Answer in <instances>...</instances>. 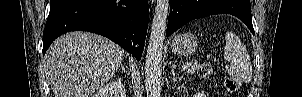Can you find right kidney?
I'll list each match as a JSON object with an SVG mask.
<instances>
[{"label":"right kidney","instance_id":"obj_1","mask_svg":"<svg viewBox=\"0 0 302 97\" xmlns=\"http://www.w3.org/2000/svg\"><path fill=\"white\" fill-rule=\"evenodd\" d=\"M112 92H115L118 96L120 95V97L126 96L123 83L121 81H113L97 91L93 97H108Z\"/></svg>","mask_w":302,"mask_h":97}]
</instances>
